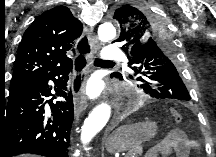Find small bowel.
Here are the masks:
<instances>
[{
    "label": "small bowel",
    "instance_id": "c3829d8e",
    "mask_svg": "<svg viewBox=\"0 0 216 157\" xmlns=\"http://www.w3.org/2000/svg\"><path fill=\"white\" fill-rule=\"evenodd\" d=\"M199 144L190 139L183 131H171L163 143L159 155L174 152L178 157H190L192 150H198Z\"/></svg>",
    "mask_w": 216,
    "mask_h": 157
}]
</instances>
